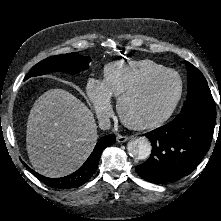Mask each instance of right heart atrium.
<instances>
[{"instance_id":"d8ad5b80","label":"right heart atrium","mask_w":221,"mask_h":221,"mask_svg":"<svg viewBox=\"0 0 221 221\" xmlns=\"http://www.w3.org/2000/svg\"><path fill=\"white\" fill-rule=\"evenodd\" d=\"M86 95L100 120H105L111 116V95L102 81L94 78L89 79L86 84Z\"/></svg>"}]
</instances>
